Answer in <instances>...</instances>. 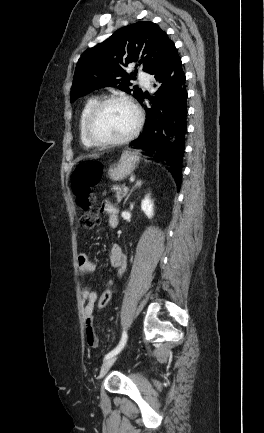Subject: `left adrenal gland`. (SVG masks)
I'll return each mask as SVG.
<instances>
[{
	"label": "left adrenal gland",
	"mask_w": 264,
	"mask_h": 433,
	"mask_svg": "<svg viewBox=\"0 0 264 433\" xmlns=\"http://www.w3.org/2000/svg\"><path fill=\"white\" fill-rule=\"evenodd\" d=\"M143 182L141 180H137L135 185L133 186V188L131 189V191L129 192V194L127 195L126 199L124 200L123 205H125V203L127 202V200L129 199L130 195L132 194V192L134 191V189L136 188H140L142 186Z\"/></svg>",
	"instance_id": "left-adrenal-gland-1"
}]
</instances>
